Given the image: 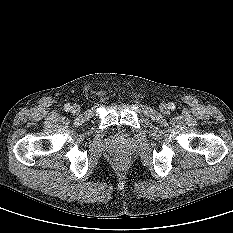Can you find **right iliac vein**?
Listing matches in <instances>:
<instances>
[{
  "mask_svg": "<svg viewBox=\"0 0 233 233\" xmlns=\"http://www.w3.org/2000/svg\"><path fill=\"white\" fill-rule=\"evenodd\" d=\"M71 112L73 114H77L80 112V106L78 104H74L72 107H71Z\"/></svg>",
  "mask_w": 233,
  "mask_h": 233,
  "instance_id": "1",
  "label": "right iliac vein"
}]
</instances>
